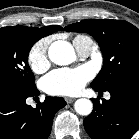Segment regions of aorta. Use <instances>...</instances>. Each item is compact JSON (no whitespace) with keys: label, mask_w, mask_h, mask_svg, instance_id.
Listing matches in <instances>:
<instances>
[{"label":"aorta","mask_w":139,"mask_h":139,"mask_svg":"<svg viewBox=\"0 0 139 139\" xmlns=\"http://www.w3.org/2000/svg\"><path fill=\"white\" fill-rule=\"evenodd\" d=\"M48 56L57 65H67L74 60L75 52L69 42L58 40L50 45ZM74 108L78 114L87 116L92 112L93 104L89 99L81 98L75 102Z\"/></svg>","instance_id":"762f6f07"}]
</instances>
